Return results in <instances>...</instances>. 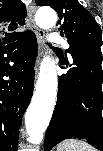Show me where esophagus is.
Here are the masks:
<instances>
[{"label": "esophagus", "instance_id": "esophagus-1", "mask_svg": "<svg viewBox=\"0 0 103 151\" xmlns=\"http://www.w3.org/2000/svg\"><path fill=\"white\" fill-rule=\"evenodd\" d=\"M34 12H35V6L31 5L30 9H29V13H28V17H27V21H28V25L30 27V29L36 34L37 36V41H38V57L36 60V73H37V69L39 66V61L41 58V55L43 53L44 50V32L42 30H40L37 25L35 24L34 21Z\"/></svg>", "mask_w": 103, "mask_h": 151}]
</instances>
